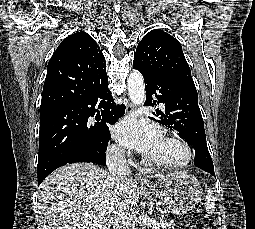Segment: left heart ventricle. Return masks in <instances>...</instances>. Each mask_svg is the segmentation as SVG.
I'll return each mask as SVG.
<instances>
[{"mask_svg":"<svg viewBox=\"0 0 255 229\" xmlns=\"http://www.w3.org/2000/svg\"><path fill=\"white\" fill-rule=\"evenodd\" d=\"M182 156L183 152L178 146L163 138L153 153L149 155V157L154 159L165 161H178L182 158Z\"/></svg>","mask_w":255,"mask_h":229,"instance_id":"b2bd125f","label":"left heart ventricle"}]
</instances>
